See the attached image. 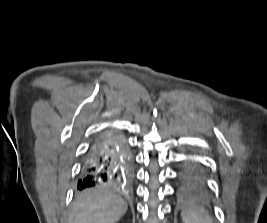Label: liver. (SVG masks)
Listing matches in <instances>:
<instances>
[{
  "instance_id": "liver-1",
  "label": "liver",
  "mask_w": 267,
  "mask_h": 223,
  "mask_svg": "<svg viewBox=\"0 0 267 223\" xmlns=\"http://www.w3.org/2000/svg\"><path fill=\"white\" fill-rule=\"evenodd\" d=\"M127 207L122 198L108 190L88 189L76 197L69 223H116Z\"/></svg>"
}]
</instances>
